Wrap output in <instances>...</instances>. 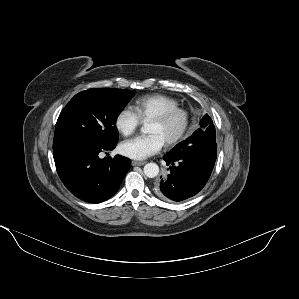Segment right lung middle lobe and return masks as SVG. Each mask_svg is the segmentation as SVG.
Returning a JSON list of instances; mask_svg holds the SVG:
<instances>
[{
    "label": "right lung middle lobe",
    "mask_w": 299,
    "mask_h": 299,
    "mask_svg": "<svg viewBox=\"0 0 299 299\" xmlns=\"http://www.w3.org/2000/svg\"><path fill=\"white\" fill-rule=\"evenodd\" d=\"M133 95L130 90L107 88L76 94L59 115L53 150L75 144L115 146L118 131L114 124Z\"/></svg>",
    "instance_id": "1"
}]
</instances>
